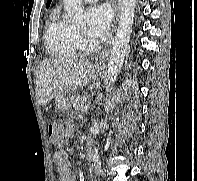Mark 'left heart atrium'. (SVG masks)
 Segmentation results:
<instances>
[{
  "label": "left heart atrium",
  "mask_w": 197,
  "mask_h": 181,
  "mask_svg": "<svg viewBox=\"0 0 197 181\" xmlns=\"http://www.w3.org/2000/svg\"><path fill=\"white\" fill-rule=\"evenodd\" d=\"M87 34L93 41L103 40L109 33L112 11L108 5H94L88 10Z\"/></svg>",
  "instance_id": "obj_1"
}]
</instances>
